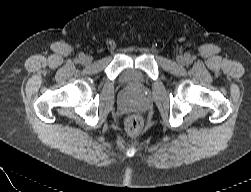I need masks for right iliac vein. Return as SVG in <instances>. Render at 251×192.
Masks as SVG:
<instances>
[{
  "label": "right iliac vein",
  "mask_w": 251,
  "mask_h": 192,
  "mask_svg": "<svg viewBox=\"0 0 251 192\" xmlns=\"http://www.w3.org/2000/svg\"><path fill=\"white\" fill-rule=\"evenodd\" d=\"M91 61H92V59H91L90 56H84L83 59H82V62L84 64H89Z\"/></svg>",
  "instance_id": "1"
}]
</instances>
